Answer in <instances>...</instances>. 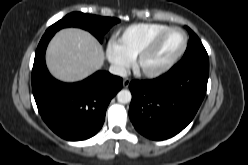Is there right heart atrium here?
<instances>
[{"label":"right heart atrium","mask_w":248,"mask_h":165,"mask_svg":"<svg viewBox=\"0 0 248 165\" xmlns=\"http://www.w3.org/2000/svg\"><path fill=\"white\" fill-rule=\"evenodd\" d=\"M106 56L113 69L119 74H124L131 65V59L120 49L116 42L108 43Z\"/></svg>","instance_id":"d8ad5b80"}]
</instances>
